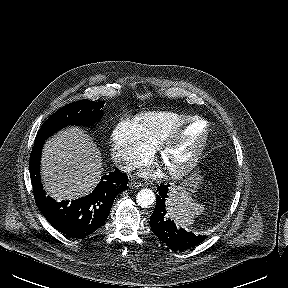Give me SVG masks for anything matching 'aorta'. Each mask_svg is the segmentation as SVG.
<instances>
[{
  "instance_id": "762f6f07",
  "label": "aorta",
  "mask_w": 288,
  "mask_h": 288,
  "mask_svg": "<svg viewBox=\"0 0 288 288\" xmlns=\"http://www.w3.org/2000/svg\"><path fill=\"white\" fill-rule=\"evenodd\" d=\"M155 194L150 189H142L136 195V202L142 208H147L155 202Z\"/></svg>"
}]
</instances>
